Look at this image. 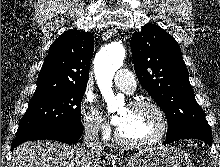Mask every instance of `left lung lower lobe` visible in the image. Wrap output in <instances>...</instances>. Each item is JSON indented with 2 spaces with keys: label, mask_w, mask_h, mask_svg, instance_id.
Segmentation results:
<instances>
[{
  "label": "left lung lower lobe",
  "mask_w": 220,
  "mask_h": 167,
  "mask_svg": "<svg viewBox=\"0 0 220 167\" xmlns=\"http://www.w3.org/2000/svg\"><path fill=\"white\" fill-rule=\"evenodd\" d=\"M181 139H200V140H203L205 143L209 144V146H211L212 144L211 129L207 128V129L195 130L179 138H172V139L166 138V140L164 141V144H170Z\"/></svg>",
  "instance_id": "obj_1"
}]
</instances>
